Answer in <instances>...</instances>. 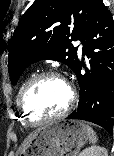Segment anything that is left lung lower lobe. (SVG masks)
I'll list each match as a JSON object with an SVG mask.
<instances>
[{"instance_id": "left-lung-lower-lobe-1", "label": "left lung lower lobe", "mask_w": 114, "mask_h": 156, "mask_svg": "<svg viewBox=\"0 0 114 156\" xmlns=\"http://www.w3.org/2000/svg\"><path fill=\"white\" fill-rule=\"evenodd\" d=\"M88 65L79 62L74 70L80 85L77 109L67 119L93 122L110 134L114 124V21L100 0L81 38ZM84 59V58H83ZM84 67L86 73L81 74Z\"/></svg>"}]
</instances>
